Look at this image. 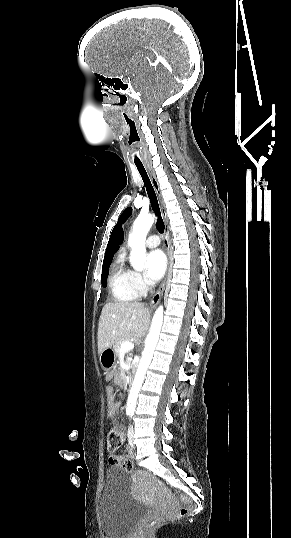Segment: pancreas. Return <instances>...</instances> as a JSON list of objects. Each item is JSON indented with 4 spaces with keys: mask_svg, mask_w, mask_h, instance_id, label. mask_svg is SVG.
I'll return each instance as SVG.
<instances>
[{
    "mask_svg": "<svg viewBox=\"0 0 291 538\" xmlns=\"http://www.w3.org/2000/svg\"><path fill=\"white\" fill-rule=\"evenodd\" d=\"M127 341V339H123V340H120L119 342H117L115 345H114V351L116 353L117 356H120L121 355V345ZM127 363L130 364L131 363V358H130V355L127 357Z\"/></svg>",
    "mask_w": 291,
    "mask_h": 538,
    "instance_id": "1",
    "label": "pancreas"
}]
</instances>
